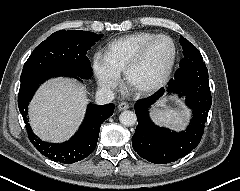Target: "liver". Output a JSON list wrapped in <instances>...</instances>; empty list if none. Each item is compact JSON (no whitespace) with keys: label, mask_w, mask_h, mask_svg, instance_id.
<instances>
[{"label":"liver","mask_w":240,"mask_h":191,"mask_svg":"<svg viewBox=\"0 0 240 191\" xmlns=\"http://www.w3.org/2000/svg\"><path fill=\"white\" fill-rule=\"evenodd\" d=\"M87 91L75 80L57 78L43 84L29 106L30 124L42 140L62 142L81 124Z\"/></svg>","instance_id":"obj_1"}]
</instances>
